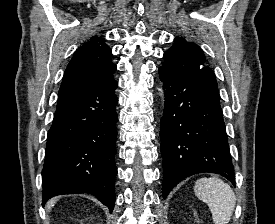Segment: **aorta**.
I'll return each mask as SVG.
<instances>
[{
  "label": "aorta",
  "mask_w": 275,
  "mask_h": 224,
  "mask_svg": "<svg viewBox=\"0 0 275 224\" xmlns=\"http://www.w3.org/2000/svg\"><path fill=\"white\" fill-rule=\"evenodd\" d=\"M160 92H161V95L163 96V91H162V89H160Z\"/></svg>",
  "instance_id": "aorta-1"
}]
</instances>
